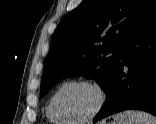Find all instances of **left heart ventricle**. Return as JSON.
<instances>
[{
    "instance_id": "left-heart-ventricle-1",
    "label": "left heart ventricle",
    "mask_w": 156,
    "mask_h": 124,
    "mask_svg": "<svg viewBox=\"0 0 156 124\" xmlns=\"http://www.w3.org/2000/svg\"><path fill=\"white\" fill-rule=\"evenodd\" d=\"M98 102L97 93L88 86L77 85L64 89L57 99V110L68 119L89 115Z\"/></svg>"
}]
</instances>
